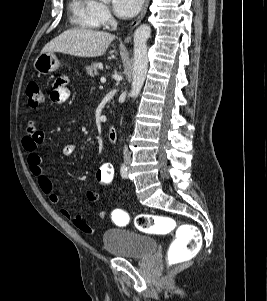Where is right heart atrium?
Masks as SVG:
<instances>
[{
    "label": "right heart atrium",
    "instance_id": "right-heart-atrium-1",
    "mask_svg": "<svg viewBox=\"0 0 267 301\" xmlns=\"http://www.w3.org/2000/svg\"><path fill=\"white\" fill-rule=\"evenodd\" d=\"M96 16L101 25L108 26L112 22V16L107 5L97 3Z\"/></svg>",
    "mask_w": 267,
    "mask_h": 301
}]
</instances>
